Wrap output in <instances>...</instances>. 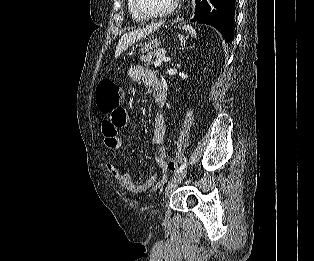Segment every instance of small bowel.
<instances>
[{
    "label": "small bowel",
    "instance_id": "obj_1",
    "mask_svg": "<svg viewBox=\"0 0 314 261\" xmlns=\"http://www.w3.org/2000/svg\"><path fill=\"white\" fill-rule=\"evenodd\" d=\"M128 79L132 82L142 81L145 85L153 88L154 94L162 89V84L159 81L157 74L151 70H146L142 65H132L128 70ZM156 97V96H155ZM128 120L127 109H112L108 114V119L101 124V131L106 137L107 149L118 151L122 148L121 131L124 130ZM166 121L162 114H157L154 118L152 129V142L159 146L155 160L160 166L161 172L153 175L148 180L141 184H135L132 176L127 172H122L114 163L107 164L108 172L119 182L122 189L129 194H142L150 190L157 189L166 179V150L162 146L165 141Z\"/></svg>",
    "mask_w": 314,
    "mask_h": 261
}]
</instances>
